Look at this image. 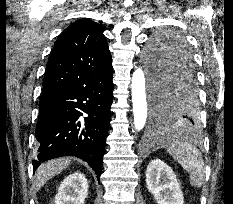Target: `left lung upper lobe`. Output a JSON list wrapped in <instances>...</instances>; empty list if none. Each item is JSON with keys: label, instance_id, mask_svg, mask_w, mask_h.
I'll return each instance as SVG.
<instances>
[{"label": "left lung upper lobe", "instance_id": "left-lung-upper-lobe-1", "mask_svg": "<svg viewBox=\"0 0 233 204\" xmlns=\"http://www.w3.org/2000/svg\"><path fill=\"white\" fill-rule=\"evenodd\" d=\"M178 53H185L192 58L185 42L174 33L158 35L149 43L144 53V61L152 82L158 81L167 71L169 64L167 59L170 55ZM171 120L178 121V124L186 130L193 131L196 127L200 129L199 106L190 98H181L171 111Z\"/></svg>", "mask_w": 233, "mask_h": 204}]
</instances>
